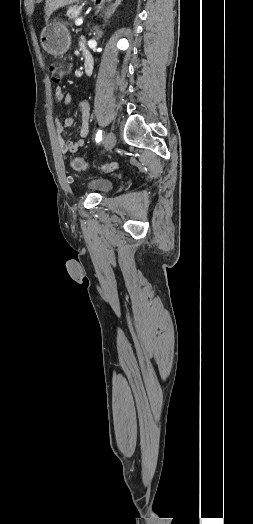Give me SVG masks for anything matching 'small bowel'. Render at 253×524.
<instances>
[{
  "label": "small bowel",
  "mask_w": 253,
  "mask_h": 524,
  "mask_svg": "<svg viewBox=\"0 0 253 524\" xmlns=\"http://www.w3.org/2000/svg\"><path fill=\"white\" fill-rule=\"evenodd\" d=\"M84 54L86 56V61L90 62L93 65V61L88 54L86 50H84ZM70 67H73V64H70ZM67 74L69 76H72L74 74V71L72 69H69L67 71ZM55 97L59 102H62L64 104H68L72 101L73 95L72 94H65L64 91L57 87L55 91ZM79 110L81 113V119L82 124L79 131L80 138L77 141H66L65 140V133L67 129H69L73 123V118H56V131L61 147L62 154L65 158H67L70 154L76 153L79 148L83 147L85 144V139L87 138L89 134V122H90V105L87 100H81L79 103Z\"/></svg>",
  "instance_id": "1"
}]
</instances>
